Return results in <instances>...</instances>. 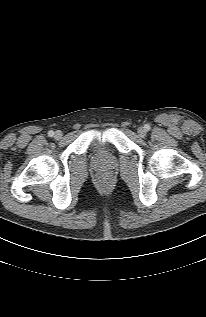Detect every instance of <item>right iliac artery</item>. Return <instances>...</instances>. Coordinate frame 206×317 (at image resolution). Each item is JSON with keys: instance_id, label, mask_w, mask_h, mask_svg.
<instances>
[{"instance_id": "obj_1", "label": "right iliac artery", "mask_w": 206, "mask_h": 317, "mask_svg": "<svg viewBox=\"0 0 206 317\" xmlns=\"http://www.w3.org/2000/svg\"><path fill=\"white\" fill-rule=\"evenodd\" d=\"M48 136L53 137L54 136V132L51 130L48 132Z\"/></svg>"}]
</instances>
